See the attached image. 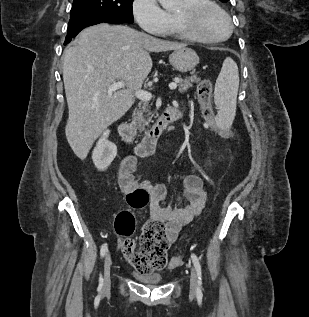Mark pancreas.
<instances>
[{"instance_id": "cf45deb5", "label": "pancreas", "mask_w": 309, "mask_h": 317, "mask_svg": "<svg viewBox=\"0 0 309 317\" xmlns=\"http://www.w3.org/2000/svg\"><path fill=\"white\" fill-rule=\"evenodd\" d=\"M199 81L200 79L195 75L186 78H178V91L180 93L186 92L193 86V83H198ZM150 110L151 105L147 101L141 102L138 105V109L134 110L131 124L136 131L143 132L146 129V126H148L152 119Z\"/></svg>"}]
</instances>
